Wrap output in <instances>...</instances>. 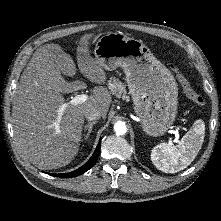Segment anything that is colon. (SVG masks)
<instances>
[{
    "label": "colon",
    "instance_id": "obj_1",
    "mask_svg": "<svg viewBox=\"0 0 221 221\" xmlns=\"http://www.w3.org/2000/svg\"><path fill=\"white\" fill-rule=\"evenodd\" d=\"M171 70L175 73L176 78L178 82L180 83L184 93L186 96L191 99L193 102H195L197 105L203 106L205 104L204 98L196 93L189 85L188 81L185 79V77L182 75V73L179 71V69L174 65L170 64Z\"/></svg>",
    "mask_w": 221,
    "mask_h": 221
}]
</instances>
